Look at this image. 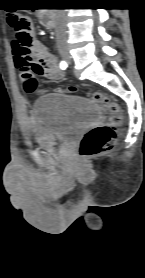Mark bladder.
<instances>
[{
	"label": "bladder",
	"instance_id": "1",
	"mask_svg": "<svg viewBox=\"0 0 145 278\" xmlns=\"http://www.w3.org/2000/svg\"><path fill=\"white\" fill-rule=\"evenodd\" d=\"M33 144L55 150L79 136L100 116L95 100L59 93L39 97L33 106Z\"/></svg>",
	"mask_w": 145,
	"mask_h": 278
}]
</instances>
